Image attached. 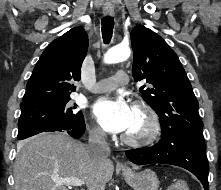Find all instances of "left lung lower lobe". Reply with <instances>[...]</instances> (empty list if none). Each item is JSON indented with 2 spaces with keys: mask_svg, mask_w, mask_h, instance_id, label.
I'll use <instances>...</instances> for the list:
<instances>
[{
  "mask_svg": "<svg viewBox=\"0 0 221 190\" xmlns=\"http://www.w3.org/2000/svg\"><path fill=\"white\" fill-rule=\"evenodd\" d=\"M130 161L138 165L163 163L176 165L192 172L209 190V165L206 146L192 140H186L173 131L162 129L161 140L154 146L126 151Z\"/></svg>",
  "mask_w": 221,
  "mask_h": 190,
  "instance_id": "0a47b994",
  "label": "left lung lower lobe"
}]
</instances>
